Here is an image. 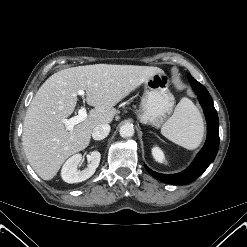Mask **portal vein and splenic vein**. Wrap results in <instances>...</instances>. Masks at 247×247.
Listing matches in <instances>:
<instances>
[{
    "mask_svg": "<svg viewBox=\"0 0 247 247\" xmlns=\"http://www.w3.org/2000/svg\"><path fill=\"white\" fill-rule=\"evenodd\" d=\"M85 92L83 90H78V95L83 96ZM87 118L86 108L82 106L78 110V115L73 116L69 119H62L61 122L66 126L68 131H72L74 126L83 122Z\"/></svg>",
    "mask_w": 247,
    "mask_h": 247,
    "instance_id": "1",
    "label": "portal vein and splenic vein"
}]
</instances>
